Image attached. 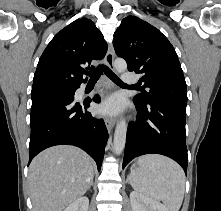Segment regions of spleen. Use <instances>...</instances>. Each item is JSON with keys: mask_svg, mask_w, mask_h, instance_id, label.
<instances>
[{"mask_svg": "<svg viewBox=\"0 0 221 211\" xmlns=\"http://www.w3.org/2000/svg\"><path fill=\"white\" fill-rule=\"evenodd\" d=\"M137 163L139 167L129 175L134 190L161 200L169 211H179L185 192L182 168L173 160L156 154L141 156Z\"/></svg>", "mask_w": 221, "mask_h": 211, "instance_id": "1", "label": "spleen"}]
</instances>
